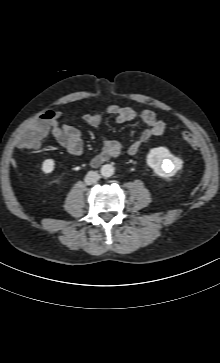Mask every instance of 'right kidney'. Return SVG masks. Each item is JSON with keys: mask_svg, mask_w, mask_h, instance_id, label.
I'll list each match as a JSON object with an SVG mask.
<instances>
[{"mask_svg": "<svg viewBox=\"0 0 220 363\" xmlns=\"http://www.w3.org/2000/svg\"><path fill=\"white\" fill-rule=\"evenodd\" d=\"M54 165H55V163H54L53 159H46L42 163V171L45 174H49L54 170Z\"/></svg>", "mask_w": 220, "mask_h": 363, "instance_id": "1", "label": "right kidney"}]
</instances>
